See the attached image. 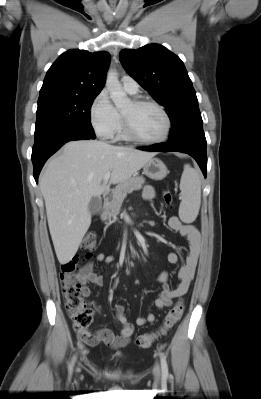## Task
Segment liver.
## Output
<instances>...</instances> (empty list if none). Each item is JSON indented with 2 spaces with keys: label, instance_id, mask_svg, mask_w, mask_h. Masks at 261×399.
Wrapping results in <instances>:
<instances>
[{
  "label": "liver",
  "instance_id": "obj_1",
  "mask_svg": "<svg viewBox=\"0 0 261 399\" xmlns=\"http://www.w3.org/2000/svg\"><path fill=\"white\" fill-rule=\"evenodd\" d=\"M155 153L114 146L97 140L71 141L53 157L40 176L49 231L58 261L69 262L91 224L88 205L92 197L109 190L102 180L123 183L139 171Z\"/></svg>",
  "mask_w": 261,
  "mask_h": 399
}]
</instances>
